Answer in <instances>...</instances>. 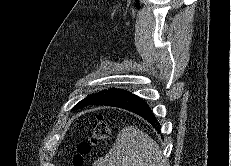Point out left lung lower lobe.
Masks as SVG:
<instances>
[{
    "mask_svg": "<svg viewBox=\"0 0 231 166\" xmlns=\"http://www.w3.org/2000/svg\"><path fill=\"white\" fill-rule=\"evenodd\" d=\"M90 105L113 106L129 110L141 116L153 127L160 130L159 123L147 103L127 90L114 89L98 97Z\"/></svg>",
    "mask_w": 231,
    "mask_h": 166,
    "instance_id": "0a47b994",
    "label": "left lung lower lobe"
}]
</instances>
